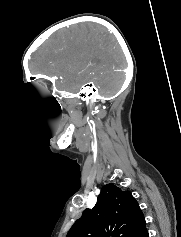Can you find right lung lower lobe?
Returning a JSON list of instances; mask_svg holds the SVG:
<instances>
[{
    "label": "right lung lower lobe",
    "instance_id": "obj_1",
    "mask_svg": "<svg viewBox=\"0 0 181 237\" xmlns=\"http://www.w3.org/2000/svg\"><path fill=\"white\" fill-rule=\"evenodd\" d=\"M143 237H149L148 232H146V233L143 235Z\"/></svg>",
    "mask_w": 181,
    "mask_h": 237
}]
</instances>
